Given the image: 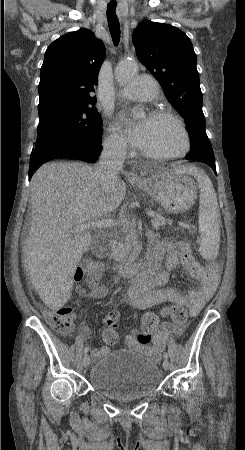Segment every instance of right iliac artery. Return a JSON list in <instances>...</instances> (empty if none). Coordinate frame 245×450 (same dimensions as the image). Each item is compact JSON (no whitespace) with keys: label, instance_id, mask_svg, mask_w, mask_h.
I'll list each match as a JSON object with an SVG mask.
<instances>
[{"label":"right iliac artery","instance_id":"right-iliac-artery-1","mask_svg":"<svg viewBox=\"0 0 245 450\" xmlns=\"http://www.w3.org/2000/svg\"><path fill=\"white\" fill-rule=\"evenodd\" d=\"M88 350H89V348H88V347H85V349H84V354H85V355L88 353Z\"/></svg>","mask_w":245,"mask_h":450}]
</instances>
